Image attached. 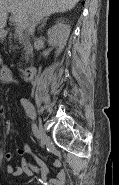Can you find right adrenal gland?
I'll return each instance as SVG.
<instances>
[{
  "mask_svg": "<svg viewBox=\"0 0 119 185\" xmlns=\"http://www.w3.org/2000/svg\"><path fill=\"white\" fill-rule=\"evenodd\" d=\"M47 20H48V17H46L45 19H43V20L41 21V25L38 27V30H40L42 27L45 26Z\"/></svg>",
  "mask_w": 119,
  "mask_h": 185,
  "instance_id": "1",
  "label": "right adrenal gland"
}]
</instances>
